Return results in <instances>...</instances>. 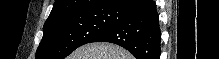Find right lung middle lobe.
<instances>
[{
  "mask_svg": "<svg viewBox=\"0 0 219 59\" xmlns=\"http://www.w3.org/2000/svg\"><path fill=\"white\" fill-rule=\"evenodd\" d=\"M112 9L61 16L45 22L36 59H64L78 47L91 43L119 20Z\"/></svg>",
  "mask_w": 219,
  "mask_h": 59,
  "instance_id": "right-lung-middle-lobe-1",
  "label": "right lung middle lobe"
}]
</instances>
